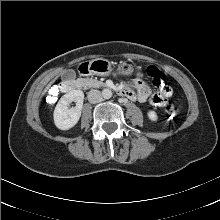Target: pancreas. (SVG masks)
Masks as SVG:
<instances>
[{
  "instance_id": "pancreas-1",
  "label": "pancreas",
  "mask_w": 220,
  "mask_h": 220,
  "mask_svg": "<svg viewBox=\"0 0 220 220\" xmlns=\"http://www.w3.org/2000/svg\"><path fill=\"white\" fill-rule=\"evenodd\" d=\"M80 81L83 83L85 88H91V87H102L104 86V83L93 78H86V79H80Z\"/></svg>"
}]
</instances>
